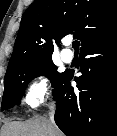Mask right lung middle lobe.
Returning <instances> with one entry per match:
<instances>
[{
  "mask_svg": "<svg viewBox=\"0 0 117 136\" xmlns=\"http://www.w3.org/2000/svg\"><path fill=\"white\" fill-rule=\"evenodd\" d=\"M52 57L27 58L10 64L4 79V93L1 110L20 103L27 84L35 77L45 75L55 87L66 72L59 73Z\"/></svg>",
  "mask_w": 117,
  "mask_h": 136,
  "instance_id": "obj_1",
  "label": "right lung middle lobe"
}]
</instances>
